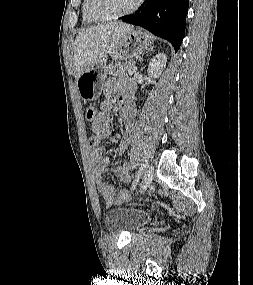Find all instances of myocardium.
Segmentation results:
<instances>
[{
  "instance_id": "1",
  "label": "myocardium",
  "mask_w": 253,
  "mask_h": 285,
  "mask_svg": "<svg viewBox=\"0 0 253 285\" xmlns=\"http://www.w3.org/2000/svg\"><path fill=\"white\" fill-rule=\"evenodd\" d=\"M142 2L143 0H135L133 5L127 10L120 12V13L112 14V15H104V14L99 13L95 8V0H87V8H88V12L90 13V15L94 17L95 19L99 21H109V20H116V19L132 14L140 7Z\"/></svg>"
}]
</instances>
